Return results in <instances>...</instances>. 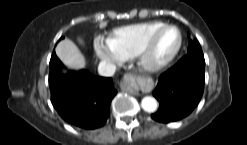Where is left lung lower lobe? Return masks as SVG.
Returning a JSON list of instances; mask_svg holds the SVG:
<instances>
[{
  "label": "left lung lower lobe",
  "mask_w": 247,
  "mask_h": 145,
  "mask_svg": "<svg viewBox=\"0 0 247 145\" xmlns=\"http://www.w3.org/2000/svg\"><path fill=\"white\" fill-rule=\"evenodd\" d=\"M205 60L202 51L188 52L159 77L153 96L159 109L151 117L162 123L178 121L197 106L204 91Z\"/></svg>",
  "instance_id": "left-lung-lower-lobe-1"
}]
</instances>
